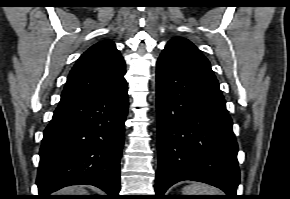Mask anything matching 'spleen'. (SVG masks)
Instances as JSON below:
<instances>
[{
    "mask_svg": "<svg viewBox=\"0 0 290 199\" xmlns=\"http://www.w3.org/2000/svg\"><path fill=\"white\" fill-rule=\"evenodd\" d=\"M183 195H221L220 191L206 184L194 183L183 188Z\"/></svg>",
    "mask_w": 290,
    "mask_h": 199,
    "instance_id": "3e777b00",
    "label": "spleen"
}]
</instances>
